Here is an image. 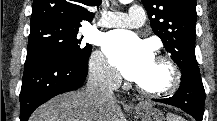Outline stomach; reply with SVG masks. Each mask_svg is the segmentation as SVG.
<instances>
[{
    "label": "stomach",
    "instance_id": "stomach-1",
    "mask_svg": "<svg viewBox=\"0 0 217 121\" xmlns=\"http://www.w3.org/2000/svg\"><path fill=\"white\" fill-rule=\"evenodd\" d=\"M134 113L141 121H165L164 115L151 105H138L134 108Z\"/></svg>",
    "mask_w": 217,
    "mask_h": 121
}]
</instances>
